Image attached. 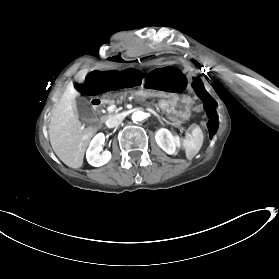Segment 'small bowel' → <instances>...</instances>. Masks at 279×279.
<instances>
[{
    "label": "small bowel",
    "instance_id": "1",
    "mask_svg": "<svg viewBox=\"0 0 279 279\" xmlns=\"http://www.w3.org/2000/svg\"><path fill=\"white\" fill-rule=\"evenodd\" d=\"M143 84L159 93H180L186 88V77L174 67H159L149 72Z\"/></svg>",
    "mask_w": 279,
    "mask_h": 279
}]
</instances>
